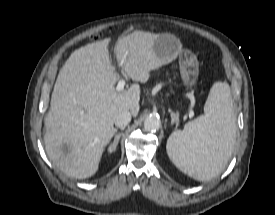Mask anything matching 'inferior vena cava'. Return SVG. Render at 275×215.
Listing matches in <instances>:
<instances>
[{"mask_svg": "<svg viewBox=\"0 0 275 215\" xmlns=\"http://www.w3.org/2000/svg\"><path fill=\"white\" fill-rule=\"evenodd\" d=\"M131 121V114L128 111H123L119 113L114 120V123L117 127L123 128L129 124Z\"/></svg>", "mask_w": 275, "mask_h": 215, "instance_id": "obj_1", "label": "inferior vena cava"}]
</instances>
